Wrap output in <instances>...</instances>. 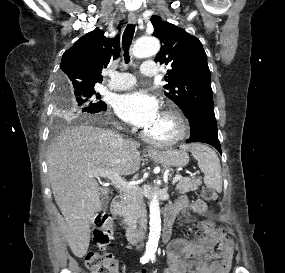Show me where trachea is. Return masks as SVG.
<instances>
[{"label": "trachea", "mask_w": 285, "mask_h": 273, "mask_svg": "<svg viewBox=\"0 0 285 273\" xmlns=\"http://www.w3.org/2000/svg\"><path fill=\"white\" fill-rule=\"evenodd\" d=\"M134 33H135V25L128 24L123 33V38H122L125 63H129L130 61L129 48H130Z\"/></svg>", "instance_id": "obj_1"}]
</instances>
